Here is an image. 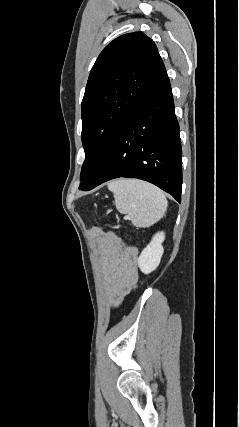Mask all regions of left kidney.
Instances as JSON below:
<instances>
[{
	"mask_svg": "<svg viewBox=\"0 0 239 427\" xmlns=\"http://www.w3.org/2000/svg\"><path fill=\"white\" fill-rule=\"evenodd\" d=\"M164 232L156 233L151 242L141 252L138 258V266L144 274L154 271L160 264L161 257L164 253L162 243L164 242Z\"/></svg>",
	"mask_w": 239,
	"mask_h": 427,
	"instance_id": "1",
	"label": "left kidney"
}]
</instances>
